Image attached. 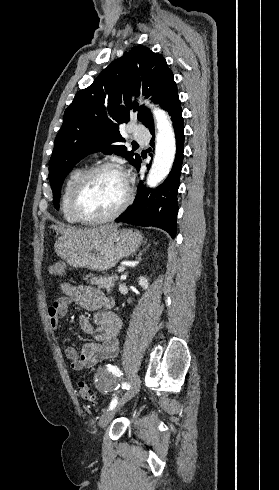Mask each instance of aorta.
I'll list each match as a JSON object with an SVG mask.
<instances>
[{"instance_id":"1","label":"aorta","mask_w":279,"mask_h":490,"mask_svg":"<svg viewBox=\"0 0 279 490\" xmlns=\"http://www.w3.org/2000/svg\"><path fill=\"white\" fill-rule=\"evenodd\" d=\"M152 109L156 127L155 155L147 177V185L156 187L169 174L176 154V139L172 122L168 114L153 105Z\"/></svg>"}]
</instances>
